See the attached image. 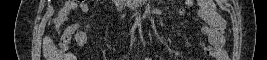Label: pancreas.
I'll list each match as a JSON object with an SVG mask.
<instances>
[{
  "label": "pancreas",
  "mask_w": 267,
  "mask_h": 60,
  "mask_svg": "<svg viewBox=\"0 0 267 60\" xmlns=\"http://www.w3.org/2000/svg\"><path fill=\"white\" fill-rule=\"evenodd\" d=\"M125 2L129 3L131 6H133V4H134V2H136V0H125Z\"/></svg>",
  "instance_id": "pancreas-1"
}]
</instances>
